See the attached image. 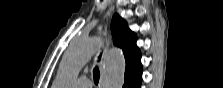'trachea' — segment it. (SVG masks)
<instances>
[{"label": "trachea", "mask_w": 223, "mask_h": 88, "mask_svg": "<svg viewBox=\"0 0 223 88\" xmlns=\"http://www.w3.org/2000/svg\"><path fill=\"white\" fill-rule=\"evenodd\" d=\"M93 78H94L95 84H98L99 78H100V71H99L98 67H95L93 70Z\"/></svg>", "instance_id": "3493384b"}]
</instances>
